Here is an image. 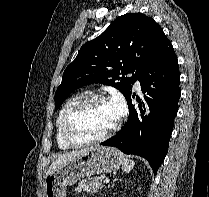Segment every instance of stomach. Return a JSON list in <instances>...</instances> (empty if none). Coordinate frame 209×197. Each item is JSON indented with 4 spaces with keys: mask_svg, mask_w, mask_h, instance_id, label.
<instances>
[{
    "mask_svg": "<svg viewBox=\"0 0 209 197\" xmlns=\"http://www.w3.org/2000/svg\"><path fill=\"white\" fill-rule=\"evenodd\" d=\"M121 154L111 147L93 146L90 150L56 168L44 180V197H66V187L85 176L116 171Z\"/></svg>",
    "mask_w": 209,
    "mask_h": 197,
    "instance_id": "obj_1",
    "label": "stomach"
}]
</instances>
